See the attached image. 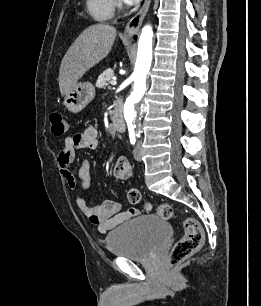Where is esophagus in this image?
Masks as SVG:
<instances>
[{
	"mask_svg": "<svg viewBox=\"0 0 261 306\" xmlns=\"http://www.w3.org/2000/svg\"><path fill=\"white\" fill-rule=\"evenodd\" d=\"M150 3L151 0H145L140 10L129 20L123 32V38L131 39L138 31L149 9Z\"/></svg>",
	"mask_w": 261,
	"mask_h": 306,
	"instance_id": "1",
	"label": "esophagus"
}]
</instances>
